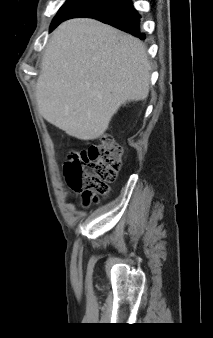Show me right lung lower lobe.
<instances>
[{"label":"right lung lower lobe","instance_id":"98d812e1","mask_svg":"<svg viewBox=\"0 0 213 338\" xmlns=\"http://www.w3.org/2000/svg\"><path fill=\"white\" fill-rule=\"evenodd\" d=\"M77 17H90L112 25L141 40L145 34L140 29V14L131 0H93L76 9L65 20Z\"/></svg>","mask_w":213,"mask_h":338}]
</instances>
